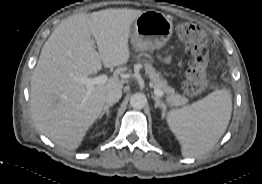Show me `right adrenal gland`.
Segmentation results:
<instances>
[{
  "instance_id": "2a0ac1e0",
  "label": "right adrenal gland",
  "mask_w": 262,
  "mask_h": 184,
  "mask_svg": "<svg viewBox=\"0 0 262 184\" xmlns=\"http://www.w3.org/2000/svg\"><path fill=\"white\" fill-rule=\"evenodd\" d=\"M112 106H113V104H106V105L104 106V109H103V111L101 112V114H100V116H99V120L102 119V117H103L105 114H106V117L109 118V114H110L109 108L112 107Z\"/></svg>"
}]
</instances>
